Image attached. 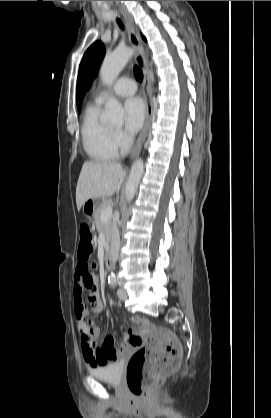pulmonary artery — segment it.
I'll list each match as a JSON object with an SVG mask.
<instances>
[{"mask_svg": "<svg viewBox=\"0 0 271 418\" xmlns=\"http://www.w3.org/2000/svg\"><path fill=\"white\" fill-rule=\"evenodd\" d=\"M137 90L135 82L128 77H120L117 79L114 84L108 88L101 90L96 98V103H103L109 94H114L117 96H131Z\"/></svg>", "mask_w": 271, "mask_h": 418, "instance_id": "e3ab8cb5", "label": "pulmonary artery"}]
</instances>
